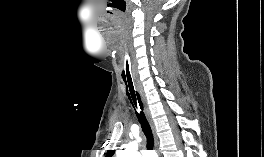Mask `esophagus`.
<instances>
[{
  "mask_svg": "<svg viewBox=\"0 0 264 157\" xmlns=\"http://www.w3.org/2000/svg\"><path fill=\"white\" fill-rule=\"evenodd\" d=\"M142 96V102H143V106H144V112L149 120V123H150V126H151V129H152V132H153V136H154V147H155V150L158 151V145H159V141H158V137L156 135V131H155V126H154V122H153V119L151 117V114H150V110L148 108V105L146 103V99L145 97L143 96V94H141Z\"/></svg>",
  "mask_w": 264,
  "mask_h": 157,
  "instance_id": "obj_1",
  "label": "esophagus"
}]
</instances>
